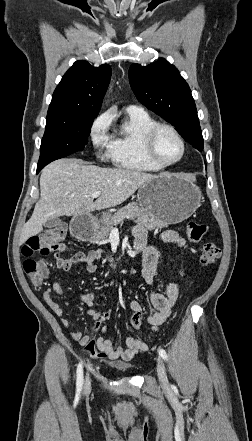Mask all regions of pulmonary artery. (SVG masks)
Returning a JSON list of instances; mask_svg holds the SVG:
<instances>
[{"instance_id": "e3ab8cb5", "label": "pulmonary artery", "mask_w": 252, "mask_h": 441, "mask_svg": "<svg viewBox=\"0 0 252 441\" xmlns=\"http://www.w3.org/2000/svg\"><path fill=\"white\" fill-rule=\"evenodd\" d=\"M126 111H130V112H142L143 109L138 106V105H128L126 107Z\"/></svg>"}]
</instances>
